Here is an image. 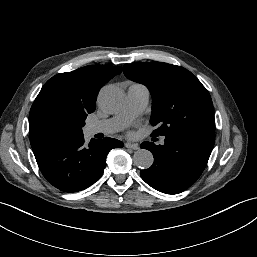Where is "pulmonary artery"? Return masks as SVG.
Instances as JSON below:
<instances>
[{
  "mask_svg": "<svg viewBox=\"0 0 257 257\" xmlns=\"http://www.w3.org/2000/svg\"><path fill=\"white\" fill-rule=\"evenodd\" d=\"M150 93L147 87L133 84L127 90V105L125 110L110 119L89 123L87 132L90 135L97 133H113L121 130L131 119L143 112L149 102Z\"/></svg>",
  "mask_w": 257,
  "mask_h": 257,
  "instance_id": "e3ab8cb5",
  "label": "pulmonary artery"
}]
</instances>
